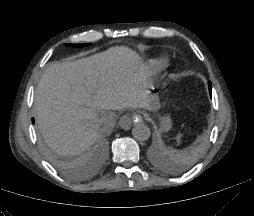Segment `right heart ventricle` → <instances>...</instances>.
<instances>
[{"label": "right heart ventricle", "mask_w": 254, "mask_h": 216, "mask_svg": "<svg viewBox=\"0 0 254 216\" xmlns=\"http://www.w3.org/2000/svg\"><path fill=\"white\" fill-rule=\"evenodd\" d=\"M167 61L166 57H159L151 61V66L154 71H158L166 65Z\"/></svg>", "instance_id": "right-heart-ventricle-1"}]
</instances>
